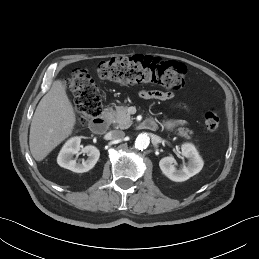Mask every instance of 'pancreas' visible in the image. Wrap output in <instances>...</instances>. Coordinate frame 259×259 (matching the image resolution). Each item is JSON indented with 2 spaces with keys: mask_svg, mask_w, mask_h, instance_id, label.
I'll list each match as a JSON object with an SVG mask.
<instances>
[{
  "mask_svg": "<svg viewBox=\"0 0 259 259\" xmlns=\"http://www.w3.org/2000/svg\"><path fill=\"white\" fill-rule=\"evenodd\" d=\"M106 117L112 123L117 124L121 129H127L132 124V120L126 106H117L116 110L106 112ZM171 125L173 126V124ZM176 131L178 136L186 139H191V135L193 134V131L188 128H178Z\"/></svg>",
  "mask_w": 259,
  "mask_h": 259,
  "instance_id": "pancreas-1",
  "label": "pancreas"
}]
</instances>
